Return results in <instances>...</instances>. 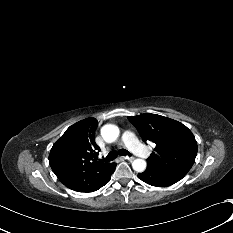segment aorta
<instances>
[{
    "mask_svg": "<svg viewBox=\"0 0 233 233\" xmlns=\"http://www.w3.org/2000/svg\"><path fill=\"white\" fill-rule=\"evenodd\" d=\"M119 133V128L116 125L107 124L101 128V136L108 143L114 142L118 138ZM146 166L147 164L144 159H135L132 162V168L136 172L145 171Z\"/></svg>",
    "mask_w": 233,
    "mask_h": 233,
    "instance_id": "aorta-1",
    "label": "aorta"
}]
</instances>
